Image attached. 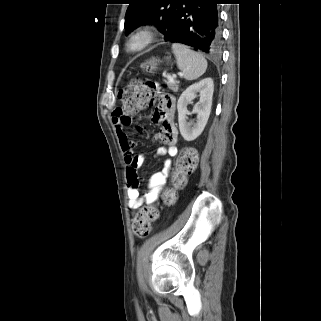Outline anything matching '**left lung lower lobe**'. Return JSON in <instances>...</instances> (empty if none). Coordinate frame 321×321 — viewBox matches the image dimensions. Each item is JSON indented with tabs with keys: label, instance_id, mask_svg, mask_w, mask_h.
<instances>
[{
	"label": "left lung lower lobe",
	"instance_id": "1",
	"mask_svg": "<svg viewBox=\"0 0 321 321\" xmlns=\"http://www.w3.org/2000/svg\"><path fill=\"white\" fill-rule=\"evenodd\" d=\"M221 0H180L164 34L167 42L181 43L208 54L221 49L217 4Z\"/></svg>",
	"mask_w": 321,
	"mask_h": 321
}]
</instances>
